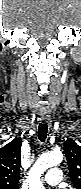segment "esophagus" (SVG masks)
<instances>
[{"label":"esophagus","instance_id":"esophagus-1","mask_svg":"<svg viewBox=\"0 0 81 189\" xmlns=\"http://www.w3.org/2000/svg\"><path fill=\"white\" fill-rule=\"evenodd\" d=\"M41 121H42L43 123H48V122H49V115L46 114V113H43V114L41 115Z\"/></svg>","mask_w":81,"mask_h":189}]
</instances>
